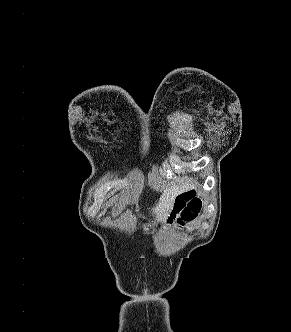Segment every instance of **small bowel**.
<instances>
[{"label":"small bowel","instance_id":"c3829d8e","mask_svg":"<svg viewBox=\"0 0 291 332\" xmlns=\"http://www.w3.org/2000/svg\"><path fill=\"white\" fill-rule=\"evenodd\" d=\"M184 193L192 195V196H196V192L193 189L187 190Z\"/></svg>","mask_w":291,"mask_h":332}]
</instances>
